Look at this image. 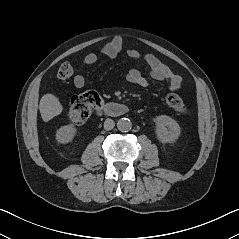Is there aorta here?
I'll use <instances>...</instances> for the list:
<instances>
[{"instance_id":"1","label":"aorta","mask_w":239,"mask_h":239,"mask_svg":"<svg viewBox=\"0 0 239 239\" xmlns=\"http://www.w3.org/2000/svg\"><path fill=\"white\" fill-rule=\"evenodd\" d=\"M117 128L122 132H128L132 128V122L128 118H121L117 122Z\"/></svg>"}]
</instances>
